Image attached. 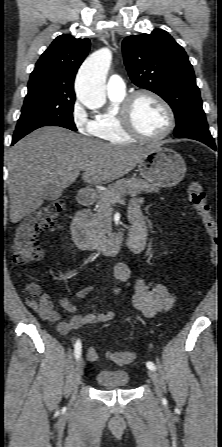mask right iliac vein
<instances>
[{
  "mask_svg": "<svg viewBox=\"0 0 222 447\" xmlns=\"http://www.w3.org/2000/svg\"><path fill=\"white\" fill-rule=\"evenodd\" d=\"M84 367H85L84 360L82 357H80L76 364V368H75L74 375H73V390H74V392H76L77 387L81 381V378L84 373Z\"/></svg>",
  "mask_w": 222,
  "mask_h": 447,
  "instance_id": "right-iliac-vein-1",
  "label": "right iliac vein"
}]
</instances>
